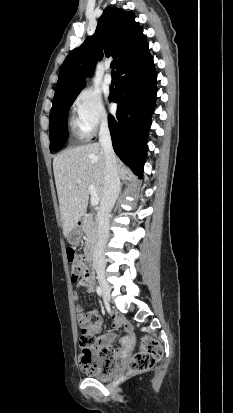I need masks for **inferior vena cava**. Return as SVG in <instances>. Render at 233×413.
Returning <instances> with one entry per match:
<instances>
[{"mask_svg": "<svg viewBox=\"0 0 233 413\" xmlns=\"http://www.w3.org/2000/svg\"><path fill=\"white\" fill-rule=\"evenodd\" d=\"M99 143L105 155L104 189L98 211V242L93 251V267L97 274L104 273L106 266L105 247L109 239V218L120 192V179L116 157L112 147L107 119H103L99 132Z\"/></svg>", "mask_w": 233, "mask_h": 413, "instance_id": "1", "label": "inferior vena cava"}]
</instances>
